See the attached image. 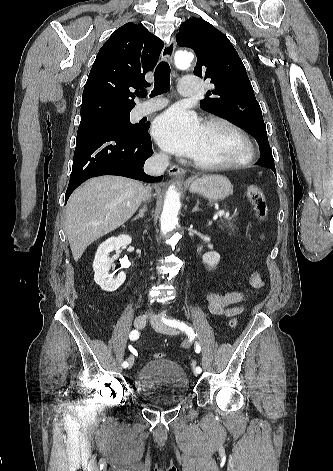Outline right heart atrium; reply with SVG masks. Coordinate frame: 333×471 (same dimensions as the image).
Instances as JSON below:
<instances>
[{
    "mask_svg": "<svg viewBox=\"0 0 333 471\" xmlns=\"http://www.w3.org/2000/svg\"><path fill=\"white\" fill-rule=\"evenodd\" d=\"M158 158H159L160 160H164V159H165V156L162 155V154H159V155H158Z\"/></svg>",
    "mask_w": 333,
    "mask_h": 471,
    "instance_id": "1",
    "label": "right heart atrium"
}]
</instances>
